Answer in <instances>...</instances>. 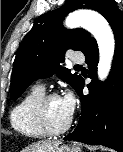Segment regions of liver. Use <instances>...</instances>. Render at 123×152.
<instances>
[{
	"instance_id": "obj_1",
	"label": "liver",
	"mask_w": 123,
	"mask_h": 152,
	"mask_svg": "<svg viewBox=\"0 0 123 152\" xmlns=\"http://www.w3.org/2000/svg\"><path fill=\"white\" fill-rule=\"evenodd\" d=\"M59 144V141H39L26 147L22 152H52Z\"/></svg>"
}]
</instances>
